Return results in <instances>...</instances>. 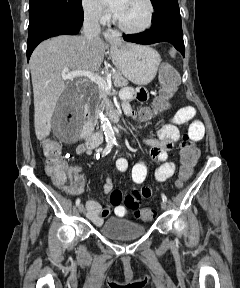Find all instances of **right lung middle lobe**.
Here are the masks:
<instances>
[{"label":"right lung middle lobe","instance_id":"1","mask_svg":"<svg viewBox=\"0 0 240 288\" xmlns=\"http://www.w3.org/2000/svg\"><path fill=\"white\" fill-rule=\"evenodd\" d=\"M29 27L55 13L78 15L83 13L82 0H29Z\"/></svg>","mask_w":240,"mask_h":288}]
</instances>
